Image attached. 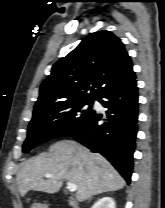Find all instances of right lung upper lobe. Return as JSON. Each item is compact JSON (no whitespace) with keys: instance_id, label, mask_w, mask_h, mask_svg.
<instances>
[{"instance_id":"obj_1","label":"right lung upper lobe","mask_w":165,"mask_h":208,"mask_svg":"<svg viewBox=\"0 0 165 208\" xmlns=\"http://www.w3.org/2000/svg\"><path fill=\"white\" fill-rule=\"evenodd\" d=\"M132 73V62L121 40L106 30L92 33L53 65L41 84L34 111L66 101L98 99Z\"/></svg>"}]
</instances>
